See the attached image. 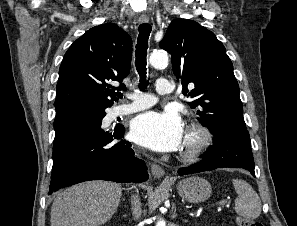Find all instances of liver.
I'll return each mask as SVG.
<instances>
[{
	"instance_id": "obj_1",
	"label": "liver",
	"mask_w": 297,
	"mask_h": 226,
	"mask_svg": "<svg viewBox=\"0 0 297 226\" xmlns=\"http://www.w3.org/2000/svg\"><path fill=\"white\" fill-rule=\"evenodd\" d=\"M121 195L117 183L90 181L74 185L55 198L51 226L102 225L116 212Z\"/></svg>"
}]
</instances>
